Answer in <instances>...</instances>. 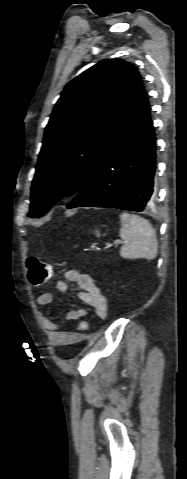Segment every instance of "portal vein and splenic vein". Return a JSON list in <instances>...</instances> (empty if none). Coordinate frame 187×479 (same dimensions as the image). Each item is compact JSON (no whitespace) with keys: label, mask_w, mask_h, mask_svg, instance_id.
<instances>
[{"label":"portal vein and splenic vein","mask_w":187,"mask_h":479,"mask_svg":"<svg viewBox=\"0 0 187 479\" xmlns=\"http://www.w3.org/2000/svg\"><path fill=\"white\" fill-rule=\"evenodd\" d=\"M119 243H121V242H114L115 245H118ZM107 247L110 248L111 245H107Z\"/></svg>","instance_id":"obj_1"}]
</instances>
